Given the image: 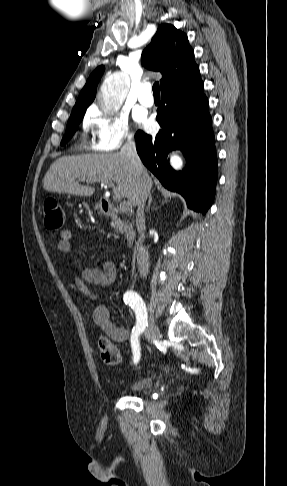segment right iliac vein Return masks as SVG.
Returning <instances> with one entry per match:
<instances>
[{
  "mask_svg": "<svg viewBox=\"0 0 287 486\" xmlns=\"http://www.w3.org/2000/svg\"><path fill=\"white\" fill-rule=\"evenodd\" d=\"M148 335H149V340L151 342L158 340L159 337H160V333H159L158 327L156 326V324L154 322V319L152 317L150 318V324H149V328H148Z\"/></svg>",
  "mask_w": 287,
  "mask_h": 486,
  "instance_id": "63e3f726",
  "label": "right iliac vein"
}]
</instances>
